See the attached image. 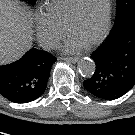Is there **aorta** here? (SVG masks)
I'll use <instances>...</instances> for the list:
<instances>
[{"instance_id": "obj_1", "label": "aorta", "mask_w": 135, "mask_h": 135, "mask_svg": "<svg viewBox=\"0 0 135 135\" xmlns=\"http://www.w3.org/2000/svg\"><path fill=\"white\" fill-rule=\"evenodd\" d=\"M78 69L83 77L88 78L94 74L96 65L92 59L85 57L78 62Z\"/></svg>"}]
</instances>
